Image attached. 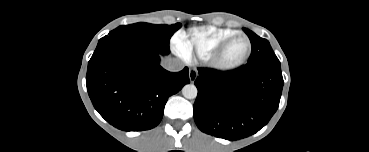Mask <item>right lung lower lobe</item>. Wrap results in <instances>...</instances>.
I'll return each instance as SVG.
<instances>
[{"instance_id": "98d812e1", "label": "right lung lower lobe", "mask_w": 369, "mask_h": 152, "mask_svg": "<svg viewBox=\"0 0 369 152\" xmlns=\"http://www.w3.org/2000/svg\"><path fill=\"white\" fill-rule=\"evenodd\" d=\"M165 53L136 40L97 46L88 63L86 85L100 115L123 131L156 127L171 95L190 82L188 68L172 73L160 66Z\"/></svg>"}]
</instances>
